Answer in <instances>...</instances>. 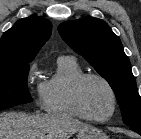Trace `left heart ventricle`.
<instances>
[{
	"label": "left heart ventricle",
	"mask_w": 141,
	"mask_h": 139,
	"mask_svg": "<svg viewBox=\"0 0 141 139\" xmlns=\"http://www.w3.org/2000/svg\"><path fill=\"white\" fill-rule=\"evenodd\" d=\"M81 101L86 113L94 118L106 117L112 108L108 88L97 79H89L83 84Z\"/></svg>",
	"instance_id": "b2bd125f"
}]
</instances>
